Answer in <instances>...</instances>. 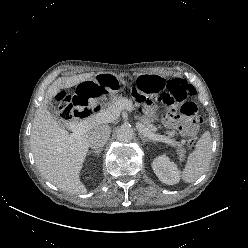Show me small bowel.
<instances>
[{
    "label": "small bowel",
    "instance_id": "obj_1",
    "mask_svg": "<svg viewBox=\"0 0 248 248\" xmlns=\"http://www.w3.org/2000/svg\"><path fill=\"white\" fill-rule=\"evenodd\" d=\"M165 121L169 127H176L183 134H187V132L191 129L188 124L180 122L178 119H176V117H168Z\"/></svg>",
    "mask_w": 248,
    "mask_h": 248
}]
</instances>
